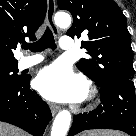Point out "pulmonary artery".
<instances>
[{
    "label": "pulmonary artery",
    "mask_w": 136,
    "mask_h": 136,
    "mask_svg": "<svg viewBox=\"0 0 136 136\" xmlns=\"http://www.w3.org/2000/svg\"><path fill=\"white\" fill-rule=\"evenodd\" d=\"M60 47L63 50H71L74 48V41L72 38L65 36L60 39ZM43 60V56L40 54L23 57L19 61L20 68H28L40 63Z\"/></svg>",
    "instance_id": "obj_1"
}]
</instances>
